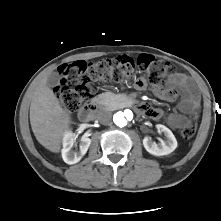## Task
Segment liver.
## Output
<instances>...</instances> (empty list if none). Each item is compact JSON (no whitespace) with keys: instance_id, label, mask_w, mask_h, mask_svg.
Returning a JSON list of instances; mask_svg holds the SVG:
<instances>
[{"instance_id":"1","label":"liver","mask_w":221,"mask_h":221,"mask_svg":"<svg viewBox=\"0 0 221 221\" xmlns=\"http://www.w3.org/2000/svg\"><path fill=\"white\" fill-rule=\"evenodd\" d=\"M70 123V111L62 107L44 77L36 86L30 105V124L37 141L49 151L58 153Z\"/></svg>"}]
</instances>
